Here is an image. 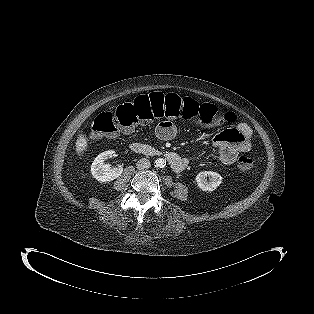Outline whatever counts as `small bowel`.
I'll list each match as a JSON object with an SVG mask.
<instances>
[{"label":"small bowel","instance_id":"c3829d8e","mask_svg":"<svg viewBox=\"0 0 314 314\" xmlns=\"http://www.w3.org/2000/svg\"><path fill=\"white\" fill-rule=\"evenodd\" d=\"M236 120L232 112L219 113L217 119L211 123H202L205 127H224L233 124ZM156 136L161 140H171L177 134V127L171 120L161 121L156 129ZM251 128L245 123H239L232 128H225L219 132L213 141L217 151L218 159L221 163L232 165L240 154L251 149Z\"/></svg>","mask_w":314,"mask_h":314}]
</instances>
